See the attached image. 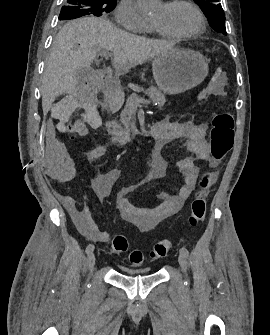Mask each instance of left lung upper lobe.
I'll list each match as a JSON object with an SVG mask.
<instances>
[{"label":"left lung upper lobe","mask_w":270,"mask_h":335,"mask_svg":"<svg viewBox=\"0 0 270 335\" xmlns=\"http://www.w3.org/2000/svg\"><path fill=\"white\" fill-rule=\"evenodd\" d=\"M204 12L211 27L224 35L227 34L225 28V14L219 0H193Z\"/></svg>","instance_id":"left-lung-upper-lobe-1"}]
</instances>
